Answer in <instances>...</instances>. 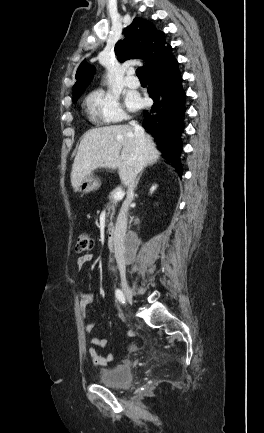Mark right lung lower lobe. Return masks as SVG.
<instances>
[{
	"mask_svg": "<svg viewBox=\"0 0 264 433\" xmlns=\"http://www.w3.org/2000/svg\"><path fill=\"white\" fill-rule=\"evenodd\" d=\"M148 93L154 104L144 111L143 127L155 138L163 157L182 175L180 135L184 129L185 93L178 62L172 56L166 63L148 70Z\"/></svg>",
	"mask_w": 264,
	"mask_h": 433,
	"instance_id": "98d812e1",
	"label": "right lung lower lobe"
}]
</instances>
